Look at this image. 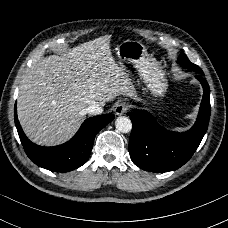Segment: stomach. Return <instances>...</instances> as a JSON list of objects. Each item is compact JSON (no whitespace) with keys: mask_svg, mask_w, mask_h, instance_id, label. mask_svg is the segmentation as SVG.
I'll return each instance as SVG.
<instances>
[{"mask_svg":"<svg viewBox=\"0 0 228 228\" xmlns=\"http://www.w3.org/2000/svg\"><path fill=\"white\" fill-rule=\"evenodd\" d=\"M116 55L119 66H124V63L131 64L138 71L154 97L164 96L168 88L165 73L152 64L154 59L142 43L126 40L117 46Z\"/></svg>","mask_w":228,"mask_h":228,"instance_id":"0dacf381","label":"stomach"}]
</instances>
